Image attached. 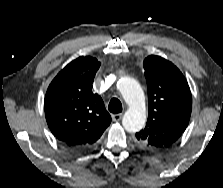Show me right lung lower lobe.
<instances>
[{"instance_id":"obj_1","label":"right lung lower lobe","mask_w":223,"mask_h":188,"mask_svg":"<svg viewBox=\"0 0 223 188\" xmlns=\"http://www.w3.org/2000/svg\"><path fill=\"white\" fill-rule=\"evenodd\" d=\"M71 149L74 150V151H78V152L85 151V150H82V149H79V148H71Z\"/></svg>"}]
</instances>
